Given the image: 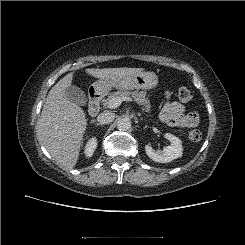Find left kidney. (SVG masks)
I'll return each instance as SVG.
<instances>
[{
	"label": "left kidney",
	"instance_id": "5707ae66",
	"mask_svg": "<svg viewBox=\"0 0 245 245\" xmlns=\"http://www.w3.org/2000/svg\"><path fill=\"white\" fill-rule=\"evenodd\" d=\"M164 137L170 141V145L164 147L162 151H155L149 144L145 146L146 154L155 162L168 163L182 156L183 148L181 140L170 133H166Z\"/></svg>",
	"mask_w": 245,
	"mask_h": 245
}]
</instances>
